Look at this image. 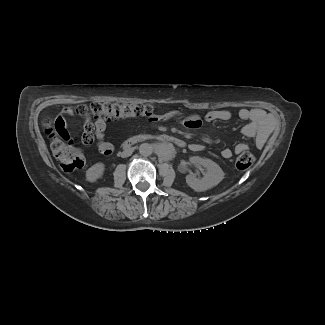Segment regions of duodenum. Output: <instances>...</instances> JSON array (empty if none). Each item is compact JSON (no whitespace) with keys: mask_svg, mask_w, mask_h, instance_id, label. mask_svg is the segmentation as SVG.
<instances>
[{"mask_svg":"<svg viewBox=\"0 0 325 325\" xmlns=\"http://www.w3.org/2000/svg\"><path fill=\"white\" fill-rule=\"evenodd\" d=\"M150 140H156V141L162 142V143H169V144H172V145L180 147V148H183L186 145V143L182 139L177 138V137L172 136V135H168V134H158V135L142 134V135H137V136H133V137H130V138L126 139L123 142V147L124 148H130V147H133L135 145H138L140 143L150 141Z\"/></svg>","mask_w":325,"mask_h":325,"instance_id":"duodenum-1","label":"duodenum"}]
</instances>
